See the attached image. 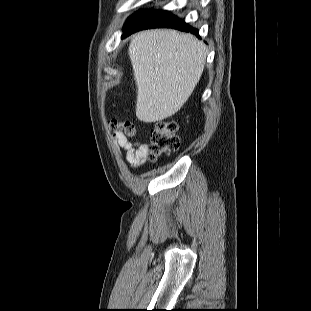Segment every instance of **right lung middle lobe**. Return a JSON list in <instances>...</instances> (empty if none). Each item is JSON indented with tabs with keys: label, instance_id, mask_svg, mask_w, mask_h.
Wrapping results in <instances>:
<instances>
[{
	"label": "right lung middle lobe",
	"instance_id": "1",
	"mask_svg": "<svg viewBox=\"0 0 311 311\" xmlns=\"http://www.w3.org/2000/svg\"><path fill=\"white\" fill-rule=\"evenodd\" d=\"M142 12H137L133 14L126 22L125 28L126 29Z\"/></svg>",
	"mask_w": 311,
	"mask_h": 311
}]
</instances>
